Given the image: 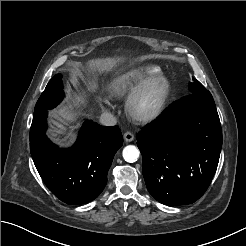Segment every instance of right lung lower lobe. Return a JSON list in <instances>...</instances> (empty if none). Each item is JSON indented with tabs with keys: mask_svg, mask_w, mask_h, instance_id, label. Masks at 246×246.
<instances>
[{
	"mask_svg": "<svg viewBox=\"0 0 246 246\" xmlns=\"http://www.w3.org/2000/svg\"><path fill=\"white\" fill-rule=\"evenodd\" d=\"M48 110L34 113L30 129V152L49 190L67 204L94 200L107 183L113 157L123 144L117 126L87 121L73 147L60 149L46 136Z\"/></svg>",
	"mask_w": 246,
	"mask_h": 246,
	"instance_id": "right-lung-lower-lobe-1",
	"label": "right lung lower lobe"
}]
</instances>
